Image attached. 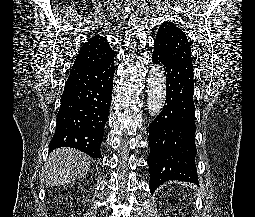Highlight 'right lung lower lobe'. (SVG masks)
Instances as JSON below:
<instances>
[{
	"label": "right lung lower lobe",
	"mask_w": 255,
	"mask_h": 217,
	"mask_svg": "<svg viewBox=\"0 0 255 217\" xmlns=\"http://www.w3.org/2000/svg\"><path fill=\"white\" fill-rule=\"evenodd\" d=\"M114 73V59L102 65L72 67L50 151L72 147L92 158H102L100 146L111 105Z\"/></svg>",
	"instance_id": "right-lung-lower-lobe-1"
}]
</instances>
